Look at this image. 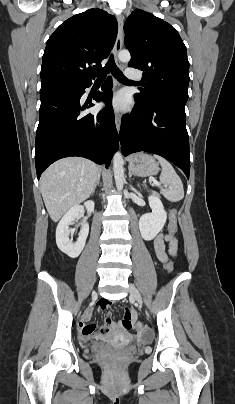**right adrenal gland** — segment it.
<instances>
[{"mask_svg":"<svg viewBox=\"0 0 235 404\" xmlns=\"http://www.w3.org/2000/svg\"><path fill=\"white\" fill-rule=\"evenodd\" d=\"M100 179H101V175H99L98 178H97L96 185H95V188H94L93 193L95 192L96 187L99 186V184H100Z\"/></svg>","mask_w":235,"mask_h":404,"instance_id":"1","label":"right adrenal gland"}]
</instances>
